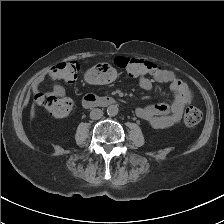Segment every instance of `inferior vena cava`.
<instances>
[{
  "label": "inferior vena cava",
  "mask_w": 224,
  "mask_h": 224,
  "mask_svg": "<svg viewBox=\"0 0 224 224\" xmlns=\"http://www.w3.org/2000/svg\"><path fill=\"white\" fill-rule=\"evenodd\" d=\"M102 116H103V111L101 109L96 108L90 112V118L93 120L100 119Z\"/></svg>",
  "instance_id": "inferior-vena-cava-1"
}]
</instances>
